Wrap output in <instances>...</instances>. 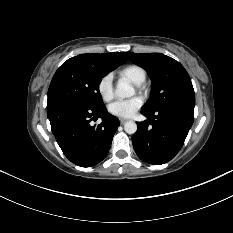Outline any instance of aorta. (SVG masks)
<instances>
[{
    "instance_id": "aorta-1",
    "label": "aorta",
    "mask_w": 233,
    "mask_h": 233,
    "mask_svg": "<svg viewBox=\"0 0 233 233\" xmlns=\"http://www.w3.org/2000/svg\"><path fill=\"white\" fill-rule=\"evenodd\" d=\"M135 93L134 88L125 81L118 82L115 94L118 98L124 99L132 97ZM124 130L128 134H134L137 131V124L134 121H127L124 124Z\"/></svg>"
}]
</instances>
